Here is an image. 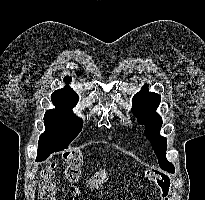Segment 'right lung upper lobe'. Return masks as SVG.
I'll list each match as a JSON object with an SVG mask.
<instances>
[{
	"label": "right lung upper lobe",
	"mask_w": 205,
	"mask_h": 200,
	"mask_svg": "<svg viewBox=\"0 0 205 200\" xmlns=\"http://www.w3.org/2000/svg\"><path fill=\"white\" fill-rule=\"evenodd\" d=\"M71 77H69V76H66L65 78H64V82L66 83V84H69L70 82H71ZM64 89H69V90H72L73 91V89L70 87V86H68V85H66L65 87H64Z\"/></svg>",
	"instance_id": "obj_1"
}]
</instances>
